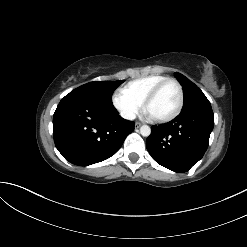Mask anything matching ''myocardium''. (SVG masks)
Listing matches in <instances>:
<instances>
[{
    "label": "myocardium",
    "mask_w": 247,
    "mask_h": 247,
    "mask_svg": "<svg viewBox=\"0 0 247 247\" xmlns=\"http://www.w3.org/2000/svg\"><path fill=\"white\" fill-rule=\"evenodd\" d=\"M168 83H173L178 89V95H179V102L174 110V112L166 117L163 118H154V121L157 123H168L175 119L182 111L184 106V92L182 85L179 83L178 80L175 78L167 77L161 82H159L155 87L151 89V91L147 94L143 101V107L146 109L148 104L155 98V96L160 92V90Z\"/></svg>",
    "instance_id": "myocardium-1"
}]
</instances>
